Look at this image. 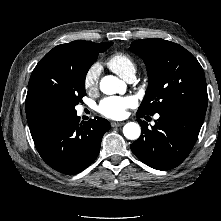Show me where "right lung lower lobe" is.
<instances>
[{
	"mask_svg": "<svg viewBox=\"0 0 221 221\" xmlns=\"http://www.w3.org/2000/svg\"><path fill=\"white\" fill-rule=\"evenodd\" d=\"M36 149L43 160L63 174H77L98 156L110 123L96 117L81 122L75 112L45 107L27 113Z\"/></svg>",
	"mask_w": 221,
	"mask_h": 221,
	"instance_id": "98d812e1",
	"label": "right lung lower lobe"
}]
</instances>
